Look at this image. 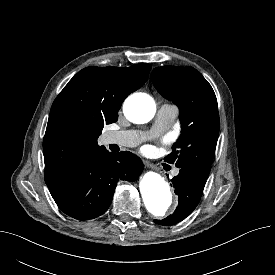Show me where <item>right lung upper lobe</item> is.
<instances>
[{
	"label": "right lung upper lobe",
	"instance_id": "obj_1",
	"mask_svg": "<svg viewBox=\"0 0 275 275\" xmlns=\"http://www.w3.org/2000/svg\"><path fill=\"white\" fill-rule=\"evenodd\" d=\"M151 66L87 67L55 99L43 140L45 182L58 183L78 162L105 149L97 139L116 122L125 98L148 79Z\"/></svg>",
	"mask_w": 275,
	"mask_h": 275
}]
</instances>
